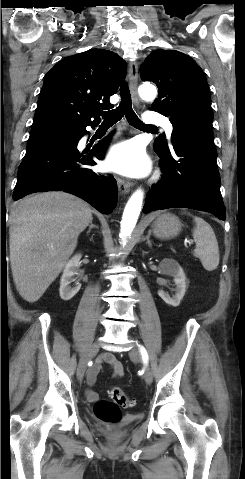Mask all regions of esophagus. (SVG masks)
I'll return each instance as SVG.
<instances>
[{
	"instance_id": "obj_1",
	"label": "esophagus",
	"mask_w": 245,
	"mask_h": 479,
	"mask_svg": "<svg viewBox=\"0 0 245 479\" xmlns=\"http://www.w3.org/2000/svg\"><path fill=\"white\" fill-rule=\"evenodd\" d=\"M128 81L129 88L132 94L133 101L138 105V94H137V85H138V66L137 63L131 61L128 69ZM118 188L121 194H127L132 187V183L117 177Z\"/></svg>"
}]
</instances>
